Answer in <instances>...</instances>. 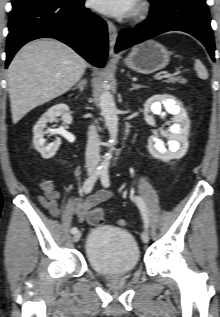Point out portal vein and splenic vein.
<instances>
[{
	"instance_id": "1",
	"label": "portal vein and splenic vein",
	"mask_w": 220,
	"mask_h": 317,
	"mask_svg": "<svg viewBox=\"0 0 220 317\" xmlns=\"http://www.w3.org/2000/svg\"><path fill=\"white\" fill-rule=\"evenodd\" d=\"M172 76V74L170 73H167L165 75H162V76H158L157 79H164V78H170Z\"/></svg>"
}]
</instances>
